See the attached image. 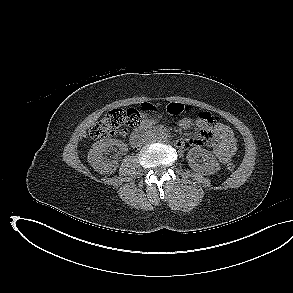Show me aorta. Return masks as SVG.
Segmentation results:
<instances>
[{"instance_id":"obj_1","label":"aorta","mask_w":293,"mask_h":293,"mask_svg":"<svg viewBox=\"0 0 293 293\" xmlns=\"http://www.w3.org/2000/svg\"><path fill=\"white\" fill-rule=\"evenodd\" d=\"M158 140L160 142H166L168 140V135L166 133H162L158 136Z\"/></svg>"}]
</instances>
